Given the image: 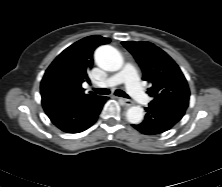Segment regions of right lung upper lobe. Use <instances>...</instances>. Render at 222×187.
Wrapping results in <instances>:
<instances>
[{
  "mask_svg": "<svg viewBox=\"0 0 222 187\" xmlns=\"http://www.w3.org/2000/svg\"><path fill=\"white\" fill-rule=\"evenodd\" d=\"M109 38L93 35L85 37L66 48L46 70L40 89L53 87L78 99L96 97L94 93L85 94L84 81H89L88 72L93 65V52Z\"/></svg>",
  "mask_w": 222,
  "mask_h": 187,
  "instance_id": "obj_1",
  "label": "right lung upper lobe"
}]
</instances>
